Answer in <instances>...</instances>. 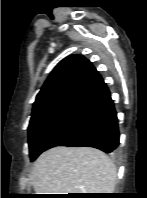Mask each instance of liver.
Returning <instances> with one entry per match:
<instances>
[{
    "label": "liver",
    "instance_id": "obj_1",
    "mask_svg": "<svg viewBox=\"0 0 147 198\" xmlns=\"http://www.w3.org/2000/svg\"><path fill=\"white\" fill-rule=\"evenodd\" d=\"M116 167L91 147L58 146L36 160L30 179L36 194L112 193Z\"/></svg>",
    "mask_w": 147,
    "mask_h": 198
}]
</instances>
